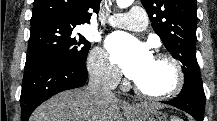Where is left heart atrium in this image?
I'll list each match as a JSON object with an SVG mask.
<instances>
[{"mask_svg":"<svg viewBox=\"0 0 217 121\" xmlns=\"http://www.w3.org/2000/svg\"><path fill=\"white\" fill-rule=\"evenodd\" d=\"M106 48L112 60L127 77L133 80L140 76L152 60V55L145 44L123 32L112 33L106 41Z\"/></svg>","mask_w":217,"mask_h":121,"instance_id":"39dd6f15","label":"left heart atrium"}]
</instances>
